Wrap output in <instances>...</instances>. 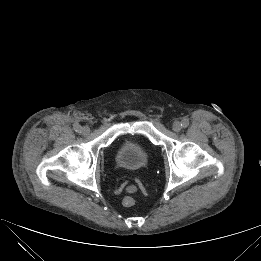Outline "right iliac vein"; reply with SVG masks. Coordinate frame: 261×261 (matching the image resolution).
Wrapping results in <instances>:
<instances>
[{
	"label": "right iliac vein",
	"instance_id": "63e3f726",
	"mask_svg": "<svg viewBox=\"0 0 261 261\" xmlns=\"http://www.w3.org/2000/svg\"><path fill=\"white\" fill-rule=\"evenodd\" d=\"M89 131H90V129H89L88 126H83V127L81 128V133H82L83 135H87V134L89 133Z\"/></svg>",
	"mask_w": 261,
	"mask_h": 261
}]
</instances>
